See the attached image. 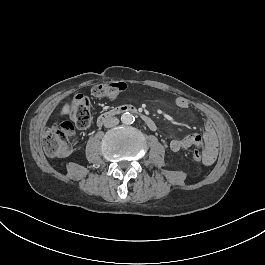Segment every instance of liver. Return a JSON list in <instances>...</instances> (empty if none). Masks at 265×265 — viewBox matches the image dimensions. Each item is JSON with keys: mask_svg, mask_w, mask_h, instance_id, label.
Here are the masks:
<instances>
[{"mask_svg": "<svg viewBox=\"0 0 265 265\" xmlns=\"http://www.w3.org/2000/svg\"><path fill=\"white\" fill-rule=\"evenodd\" d=\"M72 108V104L70 101H66L61 108V111L59 113V118H63L65 115L69 114Z\"/></svg>", "mask_w": 265, "mask_h": 265, "instance_id": "6515ba94", "label": "liver"}]
</instances>
